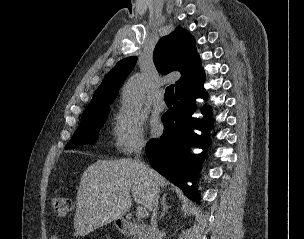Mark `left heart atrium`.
Segmentation results:
<instances>
[{
    "instance_id": "1",
    "label": "left heart atrium",
    "mask_w": 304,
    "mask_h": 239,
    "mask_svg": "<svg viewBox=\"0 0 304 239\" xmlns=\"http://www.w3.org/2000/svg\"><path fill=\"white\" fill-rule=\"evenodd\" d=\"M160 129H161V125L159 123H155L153 126L154 133H156V134L159 133Z\"/></svg>"
}]
</instances>
